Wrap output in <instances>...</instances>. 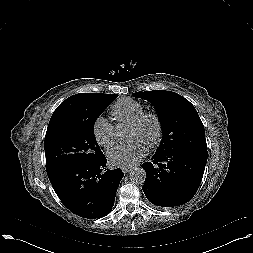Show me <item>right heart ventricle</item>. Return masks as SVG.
<instances>
[{
  "instance_id": "e07e8e85",
  "label": "right heart ventricle",
  "mask_w": 253,
  "mask_h": 253,
  "mask_svg": "<svg viewBox=\"0 0 253 253\" xmlns=\"http://www.w3.org/2000/svg\"><path fill=\"white\" fill-rule=\"evenodd\" d=\"M144 112V106L131 98L119 99L112 107L111 114L118 122L131 123Z\"/></svg>"
}]
</instances>
